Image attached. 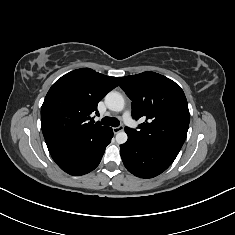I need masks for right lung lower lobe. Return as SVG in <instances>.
<instances>
[{
	"mask_svg": "<svg viewBox=\"0 0 235 235\" xmlns=\"http://www.w3.org/2000/svg\"><path fill=\"white\" fill-rule=\"evenodd\" d=\"M113 137L112 128L99 136L52 155L56 164L70 175H83L94 170L101 161L106 146Z\"/></svg>",
	"mask_w": 235,
	"mask_h": 235,
	"instance_id": "98d812e1",
	"label": "right lung lower lobe"
}]
</instances>
